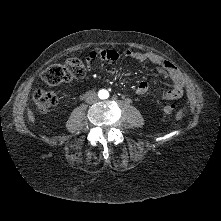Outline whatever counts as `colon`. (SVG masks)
Segmentation results:
<instances>
[{
    "instance_id": "obj_1",
    "label": "colon",
    "mask_w": 221,
    "mask_h": 221,
    "mask_svg": "<svg viewBox=\"0 0 221 221\" xmlns=\"http://www.w3.org/2000/svg\"><path fill=\"white\" fill-rule=\"evenodd\" d=\"M86 65L79 58H69L63 64H55L42 72V80L49 86H57L82 78L86 73ZM33 101L41 113L48 112L57 102L56 94L53 91L38 89L33 94ZM176 109L175 103L164 106L163 112L166 115L172 114Z\"/></svg>"
}]
</instances>
